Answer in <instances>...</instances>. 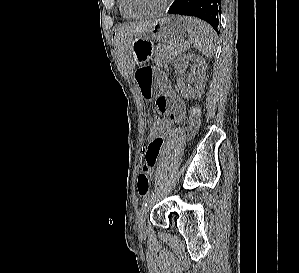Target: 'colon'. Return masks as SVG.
Segmentation results:
<instances>
[{
    "instance_id": "1",
    "label": "colon",
    "mask_w": 299,
    "mask_h": 273,
    "mask_svg": "<svg viewBox=\"0 0 299 273\" xmlns=\"http://www.w3.org/2000/svg\"><path fill=\"white\" fill-rule=\"evenodd\" d=\"M192 115L194 117L199 116V109L197 107L193 108ZM168 126L169 121L167 118L156 115L149 128L148 140H154L163 136ZM137 190L141 196L148 195L150 191V180L145 172L140 173L137 178Z\"/></svg>"
}]
</instances>
